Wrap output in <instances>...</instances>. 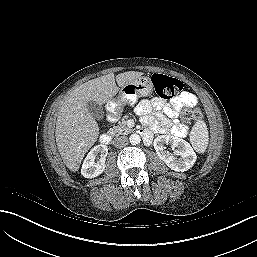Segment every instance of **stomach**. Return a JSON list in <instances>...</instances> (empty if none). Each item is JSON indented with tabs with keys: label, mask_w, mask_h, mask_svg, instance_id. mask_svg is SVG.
<instances>
[{
	"label": "stomach",
	"mask_w": 257,
	"mask_h": 257,
	"mask_svg": "<svg viewBox=\"0 0 257 257\" xmlns=\"http://www.w3.org/2000/svg\"><path fill=\"white\" fill-rule=\"evenodd\" d=\"M153 91V84L149 77H139L124 85L120 90V101L123 104H134L137 97L149 96Z\"/></svg>",
	"instance_id": "0dacf381"
}]
</instances>
